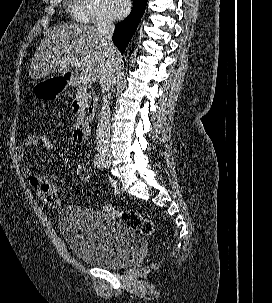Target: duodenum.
Instances as JSON below:
<instances>
[{
    "label": "duodenum",
    "instance_id": "obj_1",
    "mask_svg": "<svg viewBox=\"0 0 272 303\" xmlns=\"http://www.w3.org/2000/svg\"><path fill=\"white\" fill-rule=\"evenodd\" d=\"M66 82L69 85L76 86V78L73 74L66 75ZM72 108L76 115L77 122L74 129V139L76 142H83L88 134L89 123L93 120L96 110V102L92 101L87 108L81 104V96L74 98Z\"/></svg>",
    "mask_w": 272,
    "mask_h": 303
}]
</instances>
